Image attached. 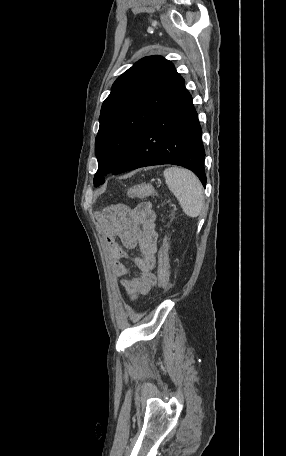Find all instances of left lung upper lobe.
Listing matches in <instances>:
<instances>
[{
  "instance_id": "left-lung-upper-lobe-1",
  "label": "left lung upper lobe",
  "mask_w": 286,
  "mask_h": 456,
  "mask_svg": "<svg viewBox=\"0 0 286 456\" xmlns=\"http://www.w3.org/2000/svg\"><path fill=\"white\" fill-rule=\"evenodd\" d=\"M184 83L174 65L160 56L141 59L117 78L100 112L94 186L115 174L141 131Z\"/></svg>"
}]
</instances>
